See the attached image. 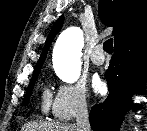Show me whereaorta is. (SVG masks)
Returning <instances> with one entry per match:
<instances>
[{"label": "aorta", "mask_w": 147, "mask_h": 131, "mask_svg": "<svg viewBox=\"0 0 147 131\" xmlns=\"http://www.w3.org/2000/svg\"><path fill=\"white\" fill-rule=\"evenodd\" d=\"M83 46V33L77 27L68 28L57 39L53 50V66L62 81L72 84L79 79Z\"/></svg>", "instance_id": "aorta-1"}]
</instances>
